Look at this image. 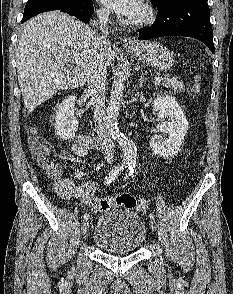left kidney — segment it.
Returning <instances> with one entry per match:
<instances>
[{
    "instance_id": "1",
    "label": "left kidney",
    "mask_w": 233,
    "mask_h": 294,
    "mask_svg": "<svg viewBox=\"0 0 233 294\" xmlns=\"http://www.w3.org/2000/svg\"><path fill=\"white\" fill-rule=\"evenodd\" d=\"M152 107L158 111L161 118L168 121L157 125V131L168 135L159 139L156 135L150 140L152 151L160 157L172 158L181 147L189 128V123L180 105L171 95L157 96Z\"/></svg>"
}]
</instances>
